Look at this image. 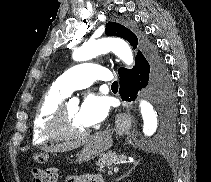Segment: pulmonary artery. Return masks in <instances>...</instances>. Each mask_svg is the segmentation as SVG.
<instances>
[{
	"mask_svg": "<svg viewBox=\"0 0 211 182\" xmlns=\"http://www.w3.org/2000/svg\"><path fill=\"white\" fill-rule=\"evenodd\" d=\"M97 80L113 81L109 69L94 63L78 64L63 73L54 86L67 96L74 90L92 85Z\"/></svg>",
	"mask_w": 211,
	"mask_h": 182,
	"instance_id": "1",
	"label": "pulmonary artery"
}]
</instances>
